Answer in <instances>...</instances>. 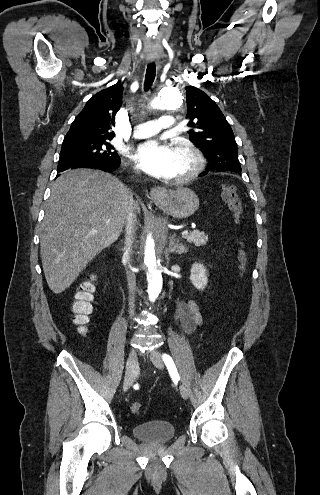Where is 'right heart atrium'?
<instances>
[{"instance_id": "d8ad5b80", "label": "right heart atrium", "mask_w": 320, "mask_h": 495, "mask_svg": "<svg viewBox=\"0 0 320 495\" xmlns=\"http://www.w3.org/2000/svg\"><path fill=\"white\" fill-rule=\"evenodd\" d=\"M134 171L137 172V168L136 167H134Z\"/></svg>"}]
</instances>
